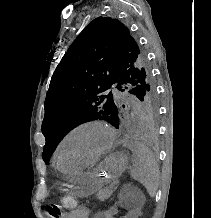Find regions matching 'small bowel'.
I'll return each mask as SVG.
<instances>
[{
  "label": "small bowel",
  "mask_w": 211,
  "mask_h": 218,
  "mask_svg": "<svg viewBox=\"0 0 211 218\" xmlns=\"http://www.w3.org/2000/svg\"><path fill=\"white\" fill-rule=\"evenodd\" d=\"M74 218H89L90 211L86 207H79L74 212ZM139 211L124 203H118L105 211H99L94 214L93 218H138Z\"/></svg>",
  "instance_id": "1"
}]
</instances>
